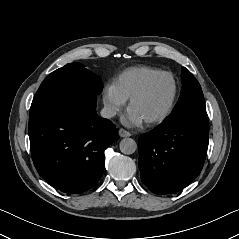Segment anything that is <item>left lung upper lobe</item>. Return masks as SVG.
I'll return each instance as SVG.
<instances>
[{"instance_id":"5c2ea615","label":"left lung upper lobe","mask_w":239,"mask_h":239,"mask_svg":"<svg viewBox=\"0 0 239 239\" xmlns=\"http://www.w3.org/2000/svg\"><path fill=\"white\" fill-rule=\"evenodd\" d=\"M181 79L182 90L179 100L166 121L172 120L189 110H206L201 86L185 67L182 68Z\"/></svg>"}]
</instances>
